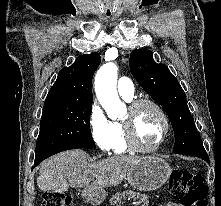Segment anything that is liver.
<instances>
[{"label": "liver", "instance_id": "6515ba94", "mask_svg": "<svg viewBox=\"0 0 221 206\" xmlns=\"http://www.w3.org/2000/svg\"><path fill=\"white\" fill-rule=\"evenodd\" d=\"M141 159L120 155L88 163L85 151H65L41 164L37 184L43 191L52 189L57 180L62 182L64 190L69 186L85 189L116 186ZM90 180H93L91 185Z\"/></svg>", "mask_w": 221, "mask_h": 206}]
</instances>
